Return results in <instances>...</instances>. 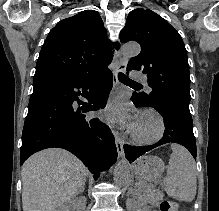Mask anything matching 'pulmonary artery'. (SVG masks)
<instances>
[{
  "mask_svg": "<svg viewBox=\"0 0 219 211\" xmlns=\"http://www.w3.org/2000/svg\"><path fill=\"white\" fill-rule=\"evenodd\" d=\"M131 80H143V75H131Z\"/></svg>",
  "mask_w": 219,
  "mask_h": 211,
  "instance_id": "obj_1",
  "label": "pulmonary artery"
}]
</instances>
